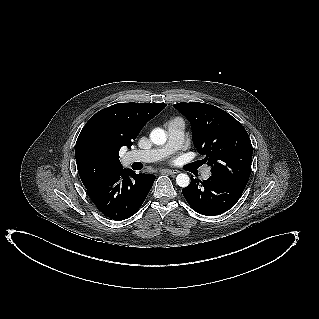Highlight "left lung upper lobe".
Listing matches in <instances>:
<instances>
[{"label":"left lung upper lobe","instance_id":"1","mask_svg":"<svg viewBox=\"0 0 319 319\" xmlns=\"http://www.w3.org/2000/svg\"><path fill=\"white\" fill-rule=\"evenodd\" d=\"M174 107L191 123L193 142L211 174L245 189L251 172L252 145L245 128L222 109L200 102Z\"/></svg>","mask_w":319,"mask_h":319}]
</instances>
